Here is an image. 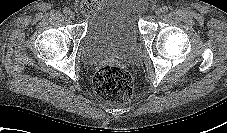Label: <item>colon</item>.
<instances>
[{"label": "colon", "instance_id": "obj_1", "mask_svg": "<svg viewBox=\"0 0 227 133\" xmlns=\"http://www.w3.org/2000/svg\"><path fill=\"white\" fill-rule=\"evenodd\" d=\"M98 0H86V9L96 7ZM94 88L104 99L115 102H126L133 94V78L121 66L105 65L100 67L94 76Z\"/></svg>", "mask_w": 227, "mask_h": 133}]
</instances>
